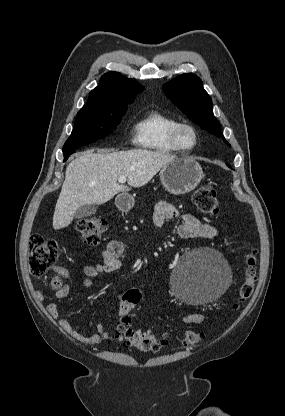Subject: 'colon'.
<instances>
[{"label":"colon","instance_id":"colon-1","mask_svg":"<svg viewBox=\"0 0 285 416\" xmlns=\"http://www.w3.org/2000/svg\"><path fill=\"white\" fill-rule=\"evenodd\" d=\"M193 203L202 213L214 215L219 211V203L216 191L211 185H203L193 193ZM107 221L100 217H87L78 221L77 230L89 245H97L102 234L107 229ZM60 253L58 244L46 239L40 234H34L29 244V270L34 276L44 275L55 263ZM245 280L239 288L238 295L241 300L248 299L254 290L256 280V258L252 250L246 259ZM56 271L60 275V269ZM62 285V279L58 276L51 282L54 289ZM141 291L138 288L128 289L120 299L118 308L119 323L117 337L127 347L142 352H155L168 345V338L158 336L150 332L135 330L131 327V316L136 306L141 301ZM202 339V334L194 330L185 331L182 341L186 346L195 345Z\"/></svg>","mask_w":285,"mask_h":416}]
</instances>
